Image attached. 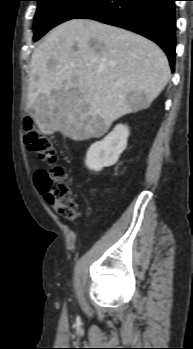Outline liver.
<instances>
[{
    "mask_svg": "<svg viewBox=\"0 0 193 349\" xmlns=\"http://www.w3.org/2000/svg\"><path fill=\"white\" fill-rule=\"evenodd\" d=\"M28 109L42 133L99 138L111 124L148 108L170 67L152 41L88 19L54 28L31 57Z\"/></svg>",
    "mask_w": 193,
    "mask_h": 349,
    "instance_id": "1",
    "label": "liver"
}]
</instances>
